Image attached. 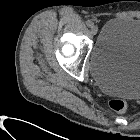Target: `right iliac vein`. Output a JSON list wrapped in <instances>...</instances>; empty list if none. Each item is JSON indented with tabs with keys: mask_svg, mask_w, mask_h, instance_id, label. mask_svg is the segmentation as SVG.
<instances>
[{
	"mask_svg": "<svg viewBox=\"0 0 140 140\" xmlns=\"http://www.w3.org/2000/svg\"><path fill=\"white\" fill-rule=\"evenodd\" d=\"M97 32H98V27H97V26H92V27H91V33H92L93 35H95Z\"/></svg>",
	"mask_w": 140,
	"mask_h": 140,
	"instance_id": "63e3f726",
	"label": "right iliac vein"
}]
</instances>
